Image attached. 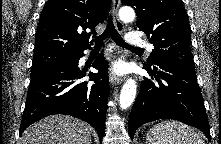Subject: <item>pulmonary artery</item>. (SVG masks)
<instances>
[{
  "label": "pulmonary artery",
  "mask_w": 221,
  "mask_h": 144,
  "mask_svg": "<svg viewBox=\"0 0 221 144\" xmlns=\"http://www.w3.org/2000/svg\"><path fill=\"white\" fill-rule=\"evenodd\" d=\"M126 41L131 46L146 47L149 50L153 48V46L151 44H148L145 40H143L137 32H129L126 35Z\"/></svg>",
  "instance_id": "e3ab8cb5"
}]
</instances>
